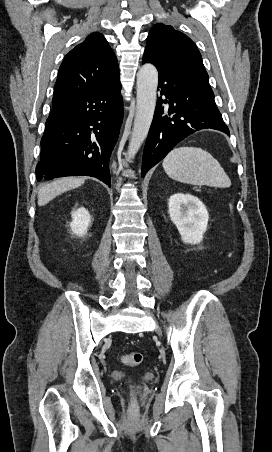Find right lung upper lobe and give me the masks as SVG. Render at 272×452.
I'll use <instances>...</instances> for the list:
<instances>
[{
  "label": "right lung upper lobe",
  "instance_id": "cb5924a9",
  "mask_svg": "<svg viewBox=\"0 0 272 452\" xmlns=\"http://www.w3.org/2000/svg\"><path fill=\"white\" fill-rule=\"evenodd\" d=\"M119 80L116 56L99 33L90 34L65 57L54 86L53 106L61 107L83 94Z\"/></svg>",
  "mask_w": 272,
  "mask_h": 452
}]
</instances>
